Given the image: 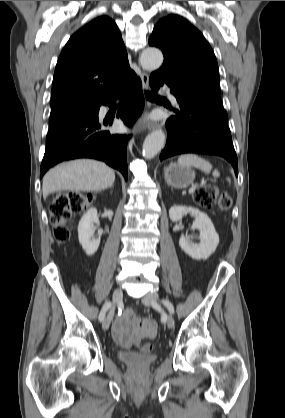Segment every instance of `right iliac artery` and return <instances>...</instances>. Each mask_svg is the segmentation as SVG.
I'll return each mask as SVG.
<instances>
[{"instance_id":"82829eb1","label":"right iliac artery","mask_w":285,"mask_h":418,"mask_svg":"<svg viewBox=\"0 0 285 418\" xmlns=\"http://www.w3.org/2000/svg\"><path fill=\"white\" fill-rule=\"evenodd\" d=\"M110 307H111V302L110 301L105 302V304L103 305L102 310L99 314V321L102 322L104 320L105 313ZM118 315H120V313H118Z\"/></svg>"}]
</instances>
